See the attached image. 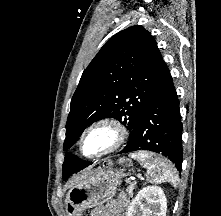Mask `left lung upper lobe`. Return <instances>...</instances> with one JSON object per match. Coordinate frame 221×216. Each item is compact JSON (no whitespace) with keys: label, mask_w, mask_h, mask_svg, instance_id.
Here are the masks:
<instances>
[{"label":"left lung upper lobe","mask_w":221,"mask_h":216,"mask_svg":"<svg viewBox=\"0 0 221 216\" xmlns=\"http://www.w3.org/2000/svg\"><path fill=\"white\" fill-rule=\"evenodd\" d=\"M161 62L156 41L141 25L109 39L84 70L72 97L63 150L69 149L88 125L108 117L127 125L130 141L147 107ZM86 163L66 153L63 179Z\"/></svg>","instance_id":"5c2ea615"}]
</instances>
